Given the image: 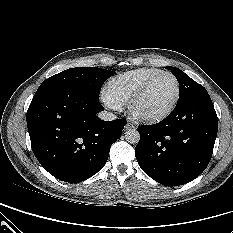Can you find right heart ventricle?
<instances>
[{
  "mask_svg": "<svg viewBox=\"0 0 233 233\" xmlns=\"http://www.w3.org/2000/svg\"><path fill=\"white\" fill-rule=\"evenodd\" d=\"M159 71L155 67H142L119 74L109 80L106 90L119 104L124 105L147 79Z\"/></svg>",
  "mask_w": 233,
  "mask_h": 233,
  "instance_id": "1",
  "label": "right heart ventricle"
}]
</instances>
